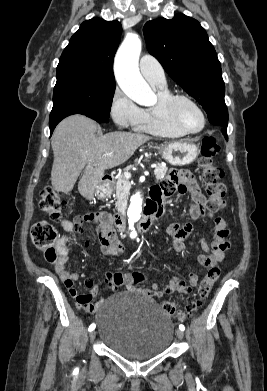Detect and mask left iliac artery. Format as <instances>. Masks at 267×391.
I'll use <instances>...</instances> for the list:
<instances>
[{
	"label": "left iliac artery",
	"instance_id": "left-iliac-artery-1",
	"mask_svg": "<svg viewBox=\"0 0 267 391\" xmlns=\"http://www.w3.org/2000/svg\"><path fill=\"white\" fill-rule=\"evenodd\" d=\"M179 329L182 330V331H184V329H185L184 325H182V324L179 325Z\"/></svg>",
	"mask_w": 267,
	"mask_h": 391
}]
</instances>
